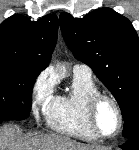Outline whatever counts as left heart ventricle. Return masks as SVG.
Returning <instances> with one entry per match:
<instances>
[{
	"label": "left heart ventricle",
	"instance_id": "left-heart-ventricle-1",
	"mask_svg": "<svg viewBox=\"0 0 139 150\" xmlns=\"http://www.w3.org/2000/svg\"><path fill=\"white\" fill-rule=\"evenodd\" d=\"M96 121L98 128L105 135H112L118 127V117L113 105L102 101L97 109Z\"/></svg>",
	"mask_w": 139,
	"mask_h": 150
}]
</instances>
